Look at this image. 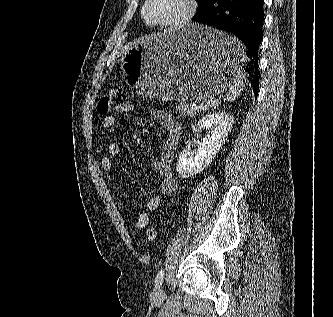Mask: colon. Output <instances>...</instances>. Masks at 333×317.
<instances>
[{
  "label": "colon",
  "instance_id": "5ec220e1",
  "mask_svg": "<svg viewBox=\"0 0 333 317\" xmlns=\"http://www.w3.org/2000/svg\"><path fill=\"white\" fill-rule=\"evenodd\" d=\"M117 92L118 91L114 89L100 97L97 105V110L100 114L106 115L109 113ZM146 236L150 241H155L157 239L156 229L153 227H148L146 229Z\"/></svg>",
  "mask_w": 333,
  "mask_h": 317
}]
</instances>
